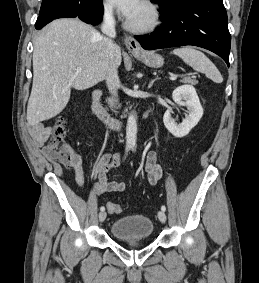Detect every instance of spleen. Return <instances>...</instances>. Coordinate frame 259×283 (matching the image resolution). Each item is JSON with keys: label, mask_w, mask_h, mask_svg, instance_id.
<instances>
[{"label": "spleen", "mask_w": 259, "mask_h": 283, "mask_svg": "<svg viewBox=\"0 0 259 283\" xmlns=\"http://www.w3.org/2000/svg\"><path fill=\"white\" fill-rule=\"evenodd\" d=\"M194 70L205 73L216 83H221L223 78L216 66L202 52L192 47L177 48L172 51Z\"/></svg>", "instance_id": "1"}]
</instances>
